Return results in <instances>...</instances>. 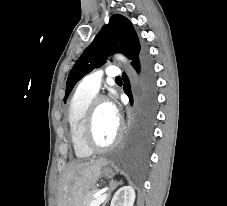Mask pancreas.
<instances>
[{"label": "pancreas", "mask_w": 227, "mask_h": 206, "mask_svg": "<svg viewBox=\"0 0 227 206\" xmlns=\"http://www.w3.org/2000/svg\"><path fill=\"white\" fill-rule=\"evenodd\" d=\"M98 192L97 189H93L92 191L86 193V195L83 198L81 206H90V203L94 201L93 196Z\"/></svg>", "instance_id": "pancreas-1"}]
</instances>
